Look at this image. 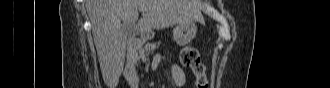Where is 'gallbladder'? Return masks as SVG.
Here are the masks:
<instances>
[{
    "instance_id": "gallbladder-1",
    "label": "gallbladder",
    "mask_w": 330,
    "mask_h": 88,
    "mask_svg": "<svg viewBox=\"0 0 330 88\" xmlns=\"http://www.w3.org/2000/svg\"><path fill=\"white\" fill-rule=\"evenodd\" d=\"M122 27H123L125 33L127 34V36L134 35L136 32V27L133 24L130 25L127 23H123Z\"/></svg>"
}]
</instances>
